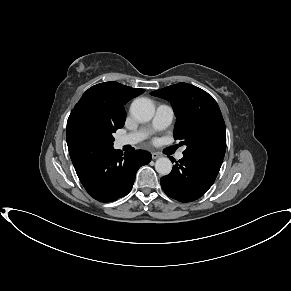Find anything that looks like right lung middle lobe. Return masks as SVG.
I'll return each instance as SVG.
<instances>
[{
    "label": "right lung middle lobe",
    "instance_id": "right-lung-middle-lobe-1",
    "mask_svg": "<svg viewBox=\"0 0 291 291\" xmlns=\"http://www.w3.org/2000/svg\"><path fill=\"white\" fill-rule=\"evenodd\" d=\"M125 119L106 111L85 107L72 110L68 121L66 137L89 139L105 146H113L112 134L122 128Z\"/></svg>",
    "mask_w": 291,
    "mask_h": 291
}]
</instances>
